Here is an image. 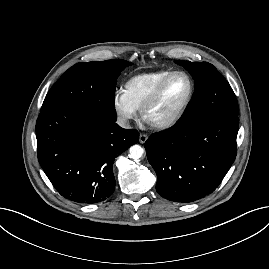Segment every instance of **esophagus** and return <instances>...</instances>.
I'll return each instance as SVG.
<instances>
[{
	"label": "esophagus",
	"mask_w": 269,
	"mask_h": 269,
	"mask_svg": "<svg viewBox=\"0 0 269 269\" xmlns=\"http://www.w3.org/2000/svg\"><path fill=\"white\" fill-rule=\"evenodd\" d=\"M147 139H148V136H147L146 134L141 133V134L139 135V142H140V143H142V144L145 143Z\"/></svg>",
	"instance_id": "34e87169"
}]
</instances>
